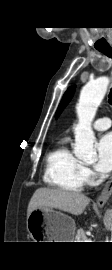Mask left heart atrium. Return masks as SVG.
I'll return each mask as SVG.
<instances>
[{
	"label": "left heart atrium",
	"instance_id": "1",
	"mask_svg": "<svg viewBox=\"0 0 112 270\" xmlns=\"http://www.w3.org/2000/svg\"><path fill=\"white\" fill-rule=\"evenodd\" d=\"M97 161L95 168L101 173L112 170V132L103 135L97 143Z\"/></svg>",
	"mask_w": 112,
	"mask_h": 270
}]
</instances>
